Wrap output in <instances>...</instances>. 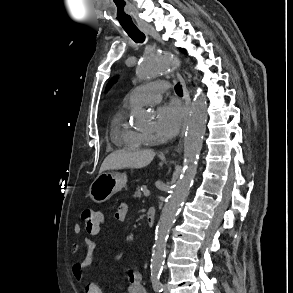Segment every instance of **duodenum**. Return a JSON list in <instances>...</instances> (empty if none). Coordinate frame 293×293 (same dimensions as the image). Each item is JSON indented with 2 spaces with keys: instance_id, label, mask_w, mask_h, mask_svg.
<instances>
[{
  "instance_id": "obj_1",
  "label": "duodenum",
  "mask_w": 293,
  "mask_h": 293,
  "mask_svg": "<svg viewBox=\"0 0 293 293\" xmlns=\"http://www.w3.org/2000/svg\"><path fill=\"white\" fill-rule=\"evenodd\" d=\"M156 210L154 207H149L146 212V222L149 227H152L155 222Z\"/></svg>"
}]
</instances>
